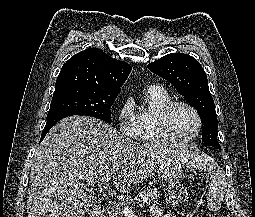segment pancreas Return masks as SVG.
<instances>
[{
  "mask_svg": "<svg viewBox=\"0 0 255 217\" xmlns=\"http://www.w3.org/2000/svg\"><path fill=\"white\" fill-rule=\"evenodd\" d=\"M159 197L158 189H146L144 191L139 192L135 196V198L127 199L126 201L122 202L121 204H117L115 206H112L108 210L109 217H122L123 211L121 209L122 205L129 206L130 204H139L140 206L146 204L150 205L153 202L156 201V199Z\"/></svg>",
  "mask_w": 255,
  "mask_h": 217,
  "instance_id": "pancreas-1",
  "label": "pancreas"
}]
</instances>
